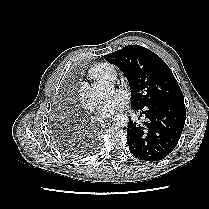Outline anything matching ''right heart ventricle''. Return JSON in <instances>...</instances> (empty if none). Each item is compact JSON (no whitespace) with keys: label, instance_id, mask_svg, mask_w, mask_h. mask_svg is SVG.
<instances>
[{"label":"right heart ventricle","instance_id":"right-heart-ventricle-1","mask_svg":"<svg viewBox=\"0 0 209 209\" xmlns=\"http://www.w3.org/2000/svg\"><path fill=\"white\" fill-rule=\"evenodd\" d=\"M116 68L108 62H100L92 65L88 70V76L95 80H113L116 76Z\"/></svg>","mask_w":209,"mask_h":209}]
</instances>
